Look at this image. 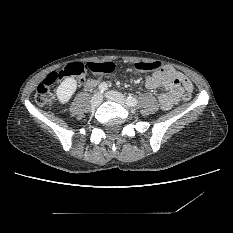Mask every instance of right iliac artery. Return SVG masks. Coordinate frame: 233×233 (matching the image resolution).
Masks as SVG:
<instances>
[{
  "label": "right iliac artery",
  "instance_id": "82829eb1",
  "mask_svg": "<svg viewBox=\"0 0 233 233\" xmlns=\"http://www.w3.org/2000/svg\"><path fill=\"white\" fill-rule=\"evenodd\" d=\"M107 88H108V86H107V84L106 83H101L100 85H99V91L101 92V93H103V92H105L106 90H107Z\"/></svg>",
  "mask_w": 233,
  "mask_h": 233
}]
</instances>
